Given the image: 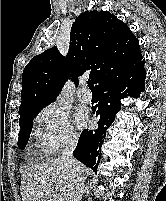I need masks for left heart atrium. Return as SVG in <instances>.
I'll return each mask as SVG.
<instances>
[{
	"label": "left heart atrium",
	"mask_w": 166,
	"mask_h": 201,
	"mask_svg": "<svg viewBox=\"0 0 166 201\" xmlns=\"http://www.w3.org/2000/svg\"><path fill=\"white\" fill-rule=\"evenodd\" d=\"M85 116L84 115H82V114H79L78 116H77V122H78V124L79 125H84L85 124Z\"/></svg>",
	"instance_id": "left-heart-atrium-1"
}]
</instances>
